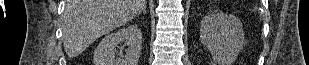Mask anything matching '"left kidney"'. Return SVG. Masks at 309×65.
<instances>
[{"label": "left kidney", "mask_w": 309, "mask_h": 65, "mask_svg": "<svg viewBox=\"0 0 309 65\" xmlns=\"http://www.w3.org/2000/svg\"><path fill=\"white\" fill-rule=\"evenodd\" d=\"M200 40L215 63L231 65L243 49V25L234 15L209 14L200 23Z\"/></svg>", "instance_id": "1"}]
</instances>
